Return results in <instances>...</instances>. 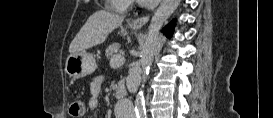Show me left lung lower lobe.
I'll use <instances>...</instances> for the list:
<instances>
[{
    "label": "left lung lower lobe",
    "mask_w": 273,
    "mask_h": 118,
    "mask_svg": "<svg viewBox=\"0 0 273 118\" xmlns=\"http://www.w3.org/2000/svg\"><path fill=\"white\" fill-rule=\"evenodd\" d=\"M174 25H175V20H173L171 23H169L164 29H163V33L167 36V37H171L173 30H174Z\"/></svg>",
    "instance_id": "obj_1"
}]
</instances>
